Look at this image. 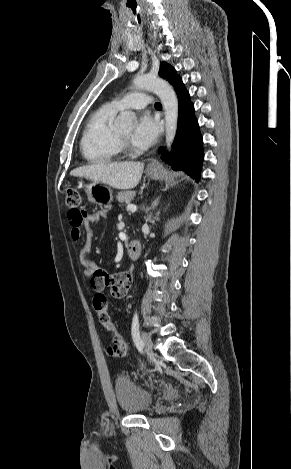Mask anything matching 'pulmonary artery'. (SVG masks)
<instances>
[{
  "mask_svg": "<svg viewBox=\"0 0 291 469\" xmlns=\"http://www.w3.org/2000/svg\"><path fill=\"white\" fill-rule=\"evenodd\" d=\"M112 104L119 110L126 108L142 109L152 104V98L147 92H135L115 99Z\"/></svg>",
  "mask_w": 291,
  "mask_h": 469,
  "instance_id": "1",
  "label": "pulmonary artery"
}]
</instances>
